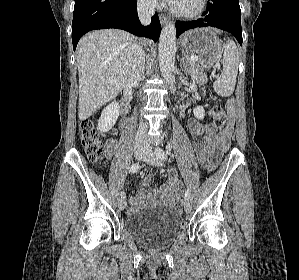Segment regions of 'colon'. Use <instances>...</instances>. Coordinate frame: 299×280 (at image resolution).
Returning a JSON list of instances; mask_svg holds the SVG:
<instances>
[{
	"instance_id": "colon-1",
	"label": "colon",
	"mask_w": 299,
	"mask_h": 280,
	"mask_svg": "<svg viewBox=\"0 0 299 280\" xmlns=\"http://www.w3.org/2000/svg\"><path fill=\"white\" fill-rule=\"evenodd\" d=\"M232 107L233 103L230 102ZM213 124L217 129L221 128L226 122V113L220 106H215L212 111ZM80 142L81 145L92 163H102L105 161L106 153L100 140V133L96 124L91 120L83 121L80 125ZM203 168L208 169L210 160L207 156L200 158ZM177 211H182V201H177L174 205Z\"/></svg>"
}]
</instances>
